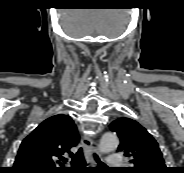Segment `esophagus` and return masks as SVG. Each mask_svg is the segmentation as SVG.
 I'll return each instance as SVG.
<instances>
[{
	"label": "esophagus",
	"instance_id": "34e87169",
	"mask_svg": "<svg viewBox=\"0 0 184 173\" xmlns=\"http://www.w3.org/2000/svg\"><path fill=\"white\" fill-rule=\"evenodd\" d=\"M81 145L85 151V153H84L85 160L88 163H93L92 156L94 153L98 152L97 142L88 136H83L82 140H81Z\"/></svg>",
	"mask_w": 184,
	"mask_h": 173
}]
</instances>
